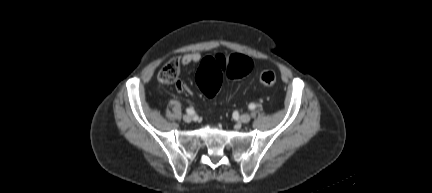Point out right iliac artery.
<instances>
[{
	"mask_svg": "<svg viewBox=\"0 0 432 193\" xmlns=\"http://www.w3.org/2000/svg\"><path fill=\"white\" fill-rule=\"evenodd\" d=\"M186 112H187L189 115H194V113H195V111H194L193 108H187V109H186Z\"/></svg>",
	"mask_w": 432,
	"mask_h": 193,
	"instance_id": "right-iliac-artery-1",
	"label": "right iliac artery"
}]
</instances>
